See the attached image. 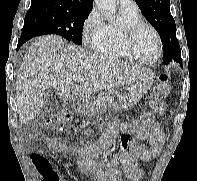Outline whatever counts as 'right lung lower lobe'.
<instances>
[{"label": "right lung lower lobe", "mask_w": 197, "mask_h": 181, "mask_svg": "<svg viewBox=\"0 0 197 181\" xmlns=\"http://www.w3.org/2000/svg\"><path fill=\"white\" fill-rule=\"evenodd\" d=\"M32 37L30 35H24V34H21L20 36V39L18 41V45L17 47H21L26 41H28L29 39H31Z\"/></svg>", "instance_id": "right-lung-lower-lobe-1"}]
</instances>
